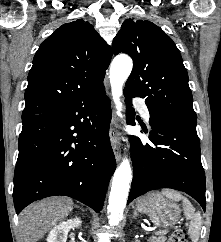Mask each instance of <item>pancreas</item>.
Masks as SVG:
<instances>
[{
  "instance_id": "obj_1",
  "label": "pancreas",
  "mask_w": 221,
  "mask_h": 242,
  "mask_svg": "<svg viewBox=\"0 0 221 242\" xmlns=\"http://www.w3.org/2000/svg\"><path fill=\"white\" fill-rule=\"evenodd\" d=\"M151 242H164L163 237H152Z\"/></svg>"
}]
</instances>
